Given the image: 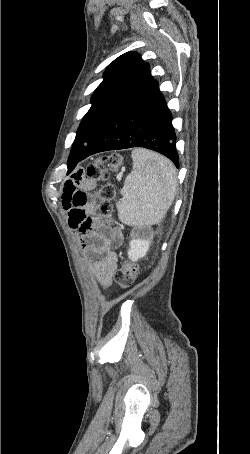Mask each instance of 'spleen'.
<instances>
[{
	"mask_svg": "<svg viewBox=\"0 0 250 454\" xmlns=\"http://www.w3.org/2000/svg\"><path fill=\"white\" fill-rule=\"evenodd\" d=\"M132 159L116 203L118 218L129 226H151L164 218L175 198L176 170L167 158L146 149H134Z\"/></svg>",
	"mask_w": 250,
	"mask_h": 454,
	"instance_id": "3e777b00",
	"label": "spleen"
}]
</instances>
